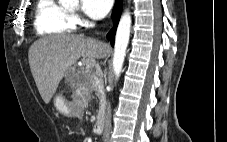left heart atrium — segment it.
Listing matches in <instances>:
<instances>
[{"label": "left heart atrium", "instance_id": "left-heart-atrium-1", "mask_svg": "<svg viewBox=\"0 0 227 142\" xmlns=\"http://www.w3.org/2000/svg\"><path fill=\"white\" fill-rule=\"evenodd\" d=\"M113 0H81L83 12L93 19H101L107 15Z\"/></svg>", "mask_w": 227, "mask_h": 142}]
</instances>
